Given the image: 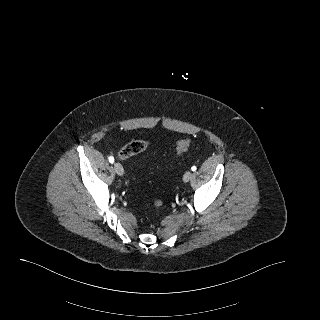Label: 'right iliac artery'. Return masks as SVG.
Here are the masks:
<instances>
[{
    "instance_id": "82829eb1",
    "label": "right iliac artery",
    "mask_w": 320,
    "mask_h": 320,
    "mask_svg": "<svg viewBox=\"0 0 320 320\" xmlns=\"http://www.w3.org/2000/svg\"><path fill=\"white\" fill-rule=\"evenodd\" d=\"M109 162L113 163L114 162V158L112 156L109 157Z\"/></svg>"
}]
</instances>
